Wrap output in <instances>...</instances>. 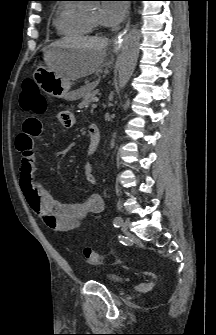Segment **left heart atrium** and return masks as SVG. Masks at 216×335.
Listing matches in <instances>:
<instances>
[{
  "mask_svg": "<svg viewBox=\"0 0 216 335\" xmlns=\"http://www.w3.org/2000/svg\"><path fill=\"white\" fill-rule=\"evenodd\" d=\"M127 5L119 1H105L99 14L100 22L107 27L115 28L124 19Z\"/></svg>",
  "mask_w": 216,
  "mask_h": 335,
  "instance_id": "1",
  "label": "left heart atrium"
}]
</instances>
